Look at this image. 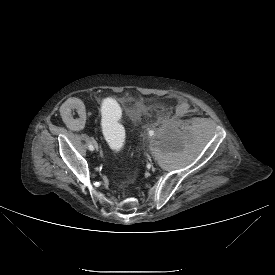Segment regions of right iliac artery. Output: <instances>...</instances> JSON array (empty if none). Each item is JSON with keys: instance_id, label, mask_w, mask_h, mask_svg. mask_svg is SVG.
Listing matches in <instances>:
<instances>
[{"instance_id": "82829eb1", "label": "right iliac artery", "mask_w": 275, "mask_h": 275, "mask_svg": "<svg viewBox=\"0 0 275 275\" xmlns=\"http://www.w3.org/2000/svg\"><path fill=\"white\" fill-rule=\"evenodd\" d=\"M89 150H91V151H93L94 150V147H93V145L92 144H89Z\"/></svg>"}]
</instances>
